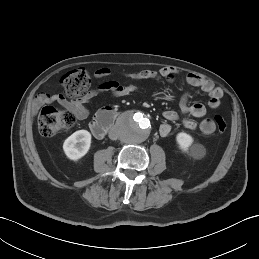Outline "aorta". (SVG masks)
<instances>
[{
  "instance_id": "1",
  "label": "aorta",
  "mask_w": 259,
  "mask_h": 259,
  "mask_svg": "<svg viewBox=\"0 0 259 259\" xmlns=\"http://www.w3.org/2000/svg\"><path fill=\"white\" fill-rule=\"evenodd\" d=\"M117 130L121 140L129 144H138L145 141L150 134V120L140 112H131L123 115Z\"/></svg>"
}]
</instances>
